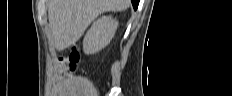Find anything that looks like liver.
Listing matches in <instances>:
<instances>
[{
    "label": "liver",
    "instance_id": "liver-1",
    "mask_svg": "<svg viewBox=\"0 0 232 96\" xmlns=\"http://www.w3.org/2000/svg\"><path fill=\"white\" fill-rule=\"evenodd\" d=\"M130 0H49L48 19L58 51L75 44L98 15L123 11Z\"/></svg>",
    "mask_w": 232,
    "mask_h": 96
}]
</instances>
